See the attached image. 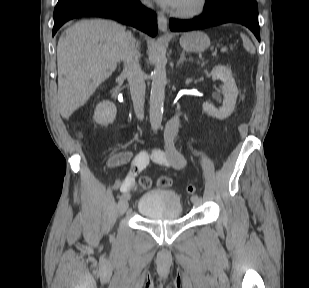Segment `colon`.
Segmentation results:
<instances>
[{
  "label": "colon",
  "mask_w": 309,
  "mask_h": 288,
  "mask_svg": "<svg viewBox=\"0 0 309 288\" xmlns=\"http://www.w3.org/2000/svg\"><path fill=\"white\" fill-rule=\"evenodd\" d=\"M156 185L160 188H167L169 186L172 185L173 181L170 177L168 176H161V177H158L155 181ZM139 184L140 186L146 188V187H149L151 184H152V181L149 177H142L140 180H139ZM186 192L189 194V195H194L195 192H196V187L195 185L193 184H189L187 187H186Z\"/></svg>",
  "instance_id": "1"
}]
</instances>
